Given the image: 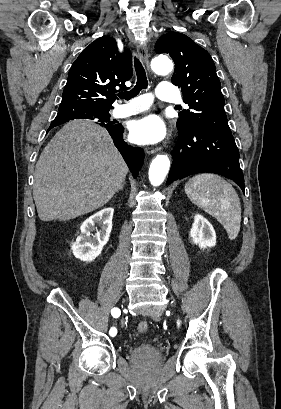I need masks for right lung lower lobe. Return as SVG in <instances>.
<instances>
[{"instance_id":"98d812e1","label":"right lung lower lobe","mask_w":281,"mask_h":409,"mask_svg":"<svg viewBox=\"0 0 281 409\" xmlns=\"http://www.w3.org/2000/svg\"><path fill=\"white\" fill-rule=\"evenodd\" d=\"M102 112L96 110H59L57 118H89V119H102ZM108 122V121H105ZM101 126H104L110 133L115 146L118 148L122 154L124 160L126 161L130 171L132 172L133 177L138 176V172L144 161V152L141 148L131 147L123 141V131L124 128L121 124L111 125V122L108 124L101 123Z\"/></svg>"}]
</instances>
